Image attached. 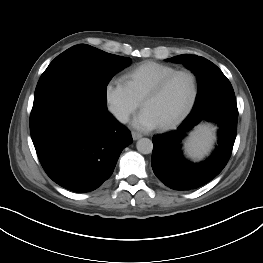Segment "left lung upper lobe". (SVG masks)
Listing matches in <instances>:
<instances>
[{"label": "left lung upper lobe", "instance_id": "1", "mask_svg": "<svg viewBox=\"0 0 263 263\" xmlns=\"http://www.w3.org/2000/svg\"><path fill=\"white\" fill-rule=\"evenodd\" d=\"M170 61L184 64L197 76L199 88L194 108L217 97L235 96L229 80L211 61L187 54L172 57Z\"/></svg>", "mask_w": 263, "mask_h": 263}]
</instances>
